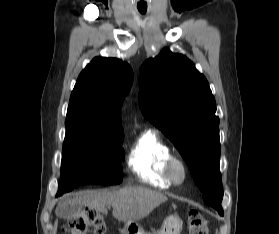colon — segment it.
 <instances>
[{
  "label": "colon",
  "instance_id": "5ec220e1",
  "mask_svg": "<svg viewBox=\"0 0 279 234\" xmlns=\"http://www.w3.org/2000/svg\"><path fill=\"white\" fill-rule=\"evenodd\" d=\"M105 234L106 225L99 212L85 209L73 216L64 227L63 234ZM188 234H208L207 221L202 214L192 210L188 215Z\"/></svg>",
  "mask_w": 279,
  "mask_h": 234
}]
</instances>
